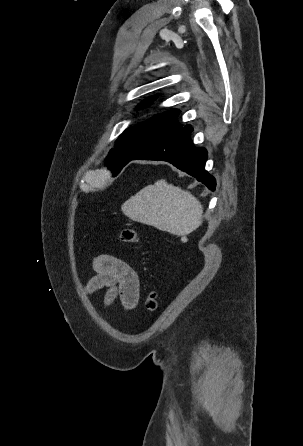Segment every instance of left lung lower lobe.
Instances as JSON below:
<instances>
[{
    "label": "left lung lower lobe",
    "instance_id": "1",
    "mask_svg": "<svg viewBox=\"0 0 303 446\" xmlns=\"http://www.w3.org/2000/svg\"><path fill=\"white\" fill-rule=\"evenodd\" d=\"M192 131L193 128L190 125L182 126L172 135L153 143L140 153L128 157L114 171V174H118L128 162L135 159L167 161L195 177L210 190H215V178L205 170L207 151L205 148H197L193 145L190 137Z\"/></svg>",
    "mask_w": 303,
    "mask_h": 446
}]
</instances>
